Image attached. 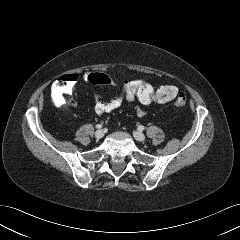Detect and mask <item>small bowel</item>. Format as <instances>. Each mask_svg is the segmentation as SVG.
<instances>
[{"label":"small bowel","instance_id":"1","mask_svg":"<svg viewBox=\"0 0 240 240\" xmlns=\"http://www.w3.org/2000/svg\"><path fill=\"white\" fill-rule=\"evenodd\" d=\"M101 98V93H96L94 96V109L98 114H105L118 109L124 100L133 104L136 102L128 93L124 83L120 85L119 90L109 102H103ZM135 111L139 117H144L147 114L139 105H135Z\"/></svg>","mask_w":240,"mask_h":240}]
</instances>
